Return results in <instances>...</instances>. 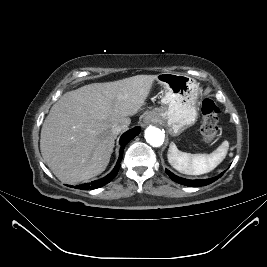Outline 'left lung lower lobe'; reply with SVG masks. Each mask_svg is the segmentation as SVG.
Returning a JSON list of instances; mask_svg holds the SVG:
<instances>
[{
    "instance_id": "1",
    "label": "left lung lower lobe",
    "mask_w": 267,
    "mask_h": 267,
    "mask_svg": "<svg viewBox=\"0 0 267 267\" xmlns=\"http://www.w3.org/2000/svg\"><path fill=\"white\" fill-rule=\"evenodd\" d=\"M165 172L169 175V177L177 182L180 183L182 185H186V186H192V187H199V186H204V185H208L214 181H216L218 178H220L223 173H221L220 175L210 178V179H204V180H188V179H184V178H180L176 175H174L173 173H171L169 170H165Z\"/></svg>"
}]
</instances>
